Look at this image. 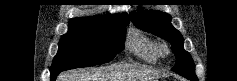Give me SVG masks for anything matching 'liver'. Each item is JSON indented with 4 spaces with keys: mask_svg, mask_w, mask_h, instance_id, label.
<instances>
[{
    "mask_svg": "<svg viewBox=\"0 0 237 81\" xmlns=\"http://www.w3.org/2000/svg\"><path fill=\"white\" fill-rule=\"evenodd\" d=\"M159 76L160 73L153 69L118 65L66 71L60 75L59 81H148Z\"/></svg>",
    "mask_w": 237,
    "mask_h": 81,
    "instance_id": "6515ba94",
    "label": "liver"
}]
</instances>
